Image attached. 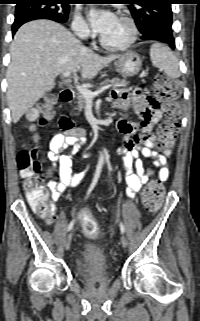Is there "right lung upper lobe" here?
I'll return each mask as SVG.
<instances>
[{
  "label": "right lung upper lobe",
  "mask_w": 200,
  "mask_h": 321,
  "mask_svg": "<svg viewBox=\"0 0 200 321\" xmlns=\"http://www.w3.org/2000/svg\"><path fill=\"white\" fill-rule=\"evenodd\" d=\"M18 1H23V0H18ZM68 1H73V0H68Z\"/></svg>",
  "instance_id": "right-lung-upper-lobe-1"
}]
</instances>
